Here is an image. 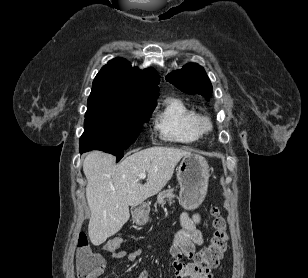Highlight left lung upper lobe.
Instances as JSON below:
<instances>
[{
  "label": "left lung upper lobe",
  "mask_w": 308,
  "mask_h": 278,
  "mask_svg": "<svg viewBox=\"0 0 308 278\" xmlns=\"http://www.w3.org/2000/svg\"><path fill=\"white\" fill-rule=\"evenodd\" d=\"M166 80L188 94L208 96L212 91L205 70L196 63L187 64L181 70L174 71L166 77Z\"/></svg>",
  "instance_id": "5c2ea615"
}]
</instances>
